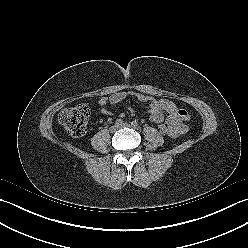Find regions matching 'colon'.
<instances>
[{"instance_id": "obj_1", "label": "colon", "mask_w": 248, "mask_h": 248, "mask_svg": "<svg viewBox=\"0 0 248 248\" xmlns=\"http://www.w3.org/2000/svg\"><path fill=\"white\" fill-rule=\"evenodd\" d=\"M89 116L87 106L77 105L63 109L58 116V121L70 136L80 137L86 131ZM158 128L162 134L170 136L171 130L166 123L159 124Z\"/></svg>"}]
</instances>
